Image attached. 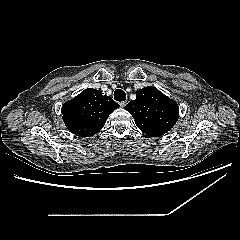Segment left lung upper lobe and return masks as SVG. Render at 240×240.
<instances>
[{
    "mask_svg": "<svg viewBox=\"0 0 240 240\" xmlns=\"http://www.w3.org/2000/svg\"><path fill=\"white\" fill-rule=\"evenodd\" d=\"M125 109L135 119L136 126L150 137H160L177 122L179 107L155 87H145L136 92V99Z\"/></svg>",
    "mask_w": 240,
    "mask_h": 240,
    "instance_id": "left-lung-upper-lobe-1",
    "label": "left lung upper lobe"
}]
</instances>
